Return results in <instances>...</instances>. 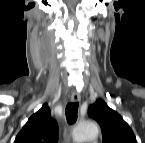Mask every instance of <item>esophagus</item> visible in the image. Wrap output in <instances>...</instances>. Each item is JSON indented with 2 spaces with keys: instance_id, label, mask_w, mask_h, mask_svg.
<instances>
[{
  "instance_id": "esophagus-1",
  "label": "esophagus",
  "mask_w": 145,
  "mask_h": 143,
  "mask_svg": "<svg viewBox=\"0 0 145 143\" xmlns=\"http://www.w3.org/2000/svg\"><path fill=\"white\" fill-rule=\"evenodd\" d=\"M80 99H81L80 94L77 91H73L72 94H71V101L73 103H75V102H79Z\"/></svg>"
}]
</instances>
